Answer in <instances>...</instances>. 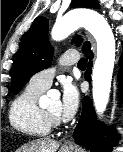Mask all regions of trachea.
I'll return each mask as SVG.
<instances>
[{"label":"trachea","mask_w":123,"mask_h":152,"mask_svg":"<svg viewBox=\"0 0 123 152\" xmlns=\"http://www.w3.org/2000/svg\"><path fill=\"white\" fill-rule=\"evenodd\" d=\"M86 65H87V60L85 58H81L80 61L78 62V67L85 68Z\"/></svg>","instance_id":"3493384b"}]
</instances>
